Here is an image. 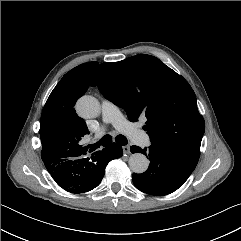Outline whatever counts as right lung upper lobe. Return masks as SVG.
I'll return each mask as SVG.
<instances>
[{"label": "right lung upper lobe", "instance_id": "obj_1", "mask_svg": "<svg viewBox=\"0 0 241 241\" xmlns=\"http://www.w3.org/2000/svg\"><path fill=\"white\" fill-rule=\"evenodd\" d=\"M97 66V62H90L73 68L51 92L41 114V157L59 159L88 152L80 142L88 128L73 107L87 91Z\"/></svg>", "mask_w": 241, "mask_h": 241}]
</instances>
